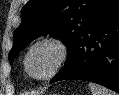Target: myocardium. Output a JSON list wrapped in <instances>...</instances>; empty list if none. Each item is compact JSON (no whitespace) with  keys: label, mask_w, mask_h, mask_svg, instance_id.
I'll list each match as a JSON object with an SVG mask.
<instances>
[{"label":"myocardium","mask_w":119,"mask_h":95,"mask_svg":"<svg viewBox=\"0 0 119 95\" xmlns=\"http://www.w3.org/2000/svg\"><path fill=\"white\" fill-rule=\"evenodd\" d=\"M41 44H52L54 45L58 51H59V57L57 59L56 64L54 65L53 69L46 75L44 76H35L33 75L28 68V58L30 56V53L32 52V50L41 45ZM70 55V49L68 44L60 37H56V36H45L42 38L37 39L36 41H34L26 50V53L24 55V60H23V64H24V69L26 71V73L32 77L33 79L36 80H49L52 77H54L62 68L63 66L66 64V62L68 61Z\"/></svg>","instance_id":"1"}]
</instances>
